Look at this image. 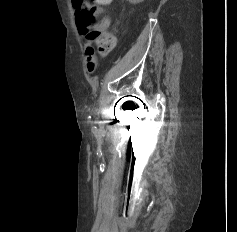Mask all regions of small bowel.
Listing matches in <instances>:
<instances>
[{
    "mask_svg": "<svg viewBox=\"0 0 237 232\" xmlns=\"http://www.w3.org/2000/svg\"><path fill=\"white\" fill-rule=\"evenodd\" d=\"M96 12L101 13L102 9L97 7ZM110 24H111L110 19H108V18L103 19L102 26L105 29L108 28L110 26ZM85 64H86L87 71L89 73L93 72L96 68V65H97V58L95 56L94 49L90 45H87L85 48Z\"/></svg>",
    "mask_w": 237,
    "mask_h": 232,
    "instance_id": "1",
    "label": "small bowel"
}]
</instances>
